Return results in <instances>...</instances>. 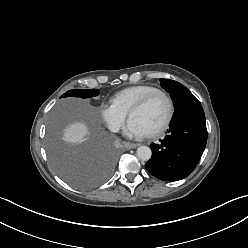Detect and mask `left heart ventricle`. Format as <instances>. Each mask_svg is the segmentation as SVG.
Returning <instances> with one entry per match:
<instances>
[{"instance_id":"obj_1","label":"left heart ventricle","mask_w":248,"mask_h":248,"mask_svg":"<svg viewBox=\"0 0 248 248\" xmlns=\"http://www.w3.org/2000/svg\"><path fill=\"white\" fill-rule=\"evenodd\" d=\"M166 114L167 104L162 97L158 96L146 107L133 112L130 119L138 122L149 133L162 123Z\"/></svg>"}]
</instances>
